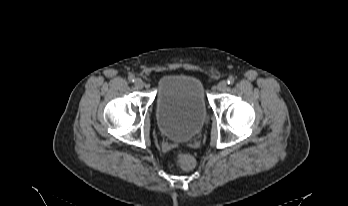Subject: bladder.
<instances>
[{
  "label": "bladder",
  "instance_id": "obj_1",
  "mask_svg": "<svg viewBox=\"0 0 348 206\" xmlns=\"http://www.w3.org/2000/svg\"><path fill=\"white\" fill-rule=\"evenodd\" d=\"M207 120V107L201 81L188 75H168L157 86V123L171 140L188 141Z\"/></svg>",
  "mask_w": 348,
  "mask_h": 206
}]
</instances>
